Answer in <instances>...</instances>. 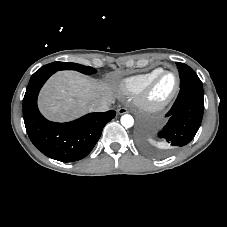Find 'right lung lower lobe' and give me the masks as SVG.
Here are the masks:
<instances>
[{
  "instance_id": "98d812e1",
  "label": "right lung lower lobe",
  "mask_w": 227,
  "mask_h": 227,
  "mask_svg": "<svg viewBox=\"0 0 227 227\" xmlns=\"http://www.w3.org/2000/svg\"><path fill=\"white\" fill-rule=\"evenodd\" d=\"M55 72L33 74L23 99V118L32 143L46 156L73 162L87 156L101 136L103 127L116 112L90 113L68 123L46 120L37 107L38 93L46 80Z\"/></svg>"
}]
</instances>
